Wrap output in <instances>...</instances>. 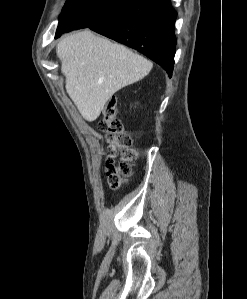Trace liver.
Returning a JSON list of instances; mask_svg holds the SVG:
<instances>
[{
    "instance_id": "liver-1",
    "label": "liver",
    "mask_w": 247,
    "mask_h": 299,
    "mask_svg": "<svg viewBox=\"0 0 247 299\" xmlns=\"http://www.w3.org/2000/svg\"><path fill=\"white\" fill-rule=\"evenodd\" d=\"M56 53L66 91L88 122L100 116L114 93L143 79L152 69L146 58L88 29L62 38Z\"/></svg>"
}]
</instances>
